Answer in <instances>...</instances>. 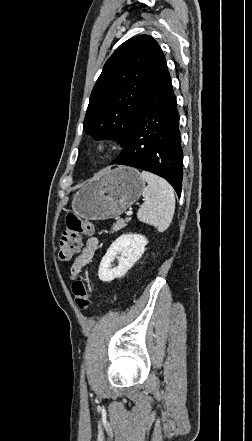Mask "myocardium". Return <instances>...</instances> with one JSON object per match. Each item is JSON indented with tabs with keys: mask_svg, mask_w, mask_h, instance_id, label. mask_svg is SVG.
<instances>
[{
	"mask_svg": "<svg viewBox=\"0 0 252 441\" xmlns=\"http://www.w3.org/2000/svg\"><path fill=\"white\" fill-rule=\"evenodd\" d=\"M91 150L94 155L103 156L110 151V143L106 139H98L92 144Z\"/></svg>",
	"mask_w": 252,
	"mask_h": 441,
	"instance_id": "1",
	"label": "myocardium"
}]
</instances>
